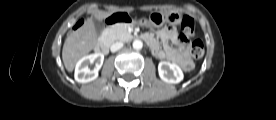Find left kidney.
<instances>
[{
  "mask_svg": "<svg viewBox=\"0 0 276 120\" xmlns=\"http://www.w3.org/2000/svg\"><path fill=\"white\" fill-rule=\"evenodd\" d=\"M158 73L160 78L167 83L176 84L183 80V72L181 68L170 62H160L158 65Z\"/></svg>",
  "mask_w": 276,
  "mask_h": 120,
  "instance_id": "obj_1",
  "label": "left kidney"
}]
</instances>
